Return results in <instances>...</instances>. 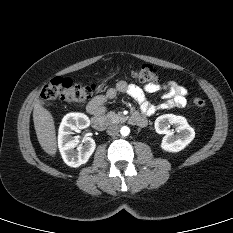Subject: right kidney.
<instances>
[{"instance_id":"ca27d5eb","label":"right kidney","mask_w":233,"mask_h":233,"mask_svg":"<svg viewBox=\"0 0 233 233\" xmlns=\"http://www.w3.org/2000/svg\"><path fill=\"white\" fill-rule=\"evenodd\" d=\"M90 125L89 118L83 113H68L62 119L58 132V147L64 162L71 167L85 164L93 154L96 144L91 137L79 140L72 136L73 131L85 129ZM77 147V150L75 148Z\"/></svg>"}]
</instances>
